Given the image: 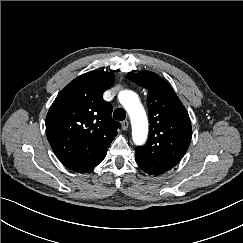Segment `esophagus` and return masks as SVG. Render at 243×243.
I'll list each match as a JSON object with an SVG mask.
<instances>
[{"instance_id":"esophagus-1","label":"esophagus","mask_w":243,"mask_h":243,"mask_svg":"<svg viewBox=\"0 0 243 243\" xmlns=\"http://www.w3.org/2000/svg\"><path fill=\"white\" fill-rule=\"evenodd\" d=\"M121 125L123 130H127L129 127V122L125 120L121 123Z\"/></svg>"}]
</instances>
